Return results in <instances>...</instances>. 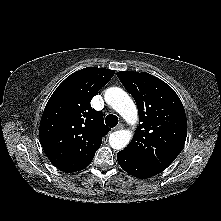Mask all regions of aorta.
<instances>
[{
	"label": "aorta",
	"instance_id": "aorta-1",
	"mask_svg": "<svg viewBox=\"0 0 221 221\" xmlns=\"http://www.w3.org/2000/svg\"><path fill=\"white\" fill-rule=\"evenodd\" d=\"M105 101L129 124H136L138 111L131 97L121 88L111 87L106 90ZM132 139V132L119 130L110 134L109 144L115 150L125 148Z\"/></svg>",
	"mask_w": 221,
	"mask_h": 221
}]
</instances>
